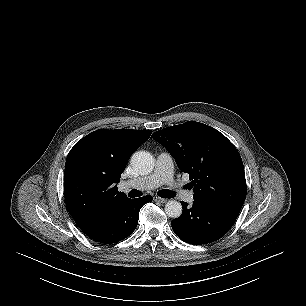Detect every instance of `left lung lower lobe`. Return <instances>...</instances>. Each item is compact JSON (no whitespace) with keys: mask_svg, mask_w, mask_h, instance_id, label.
<instances>
[{"mask_svg":"<svg viewBox=\"0 0 306 306\" xmlns=\"http://www.w3.org/2000/svg\"><path fill=\"white\" fill-rule=\"evenodd\" d=\"M182 215L172 221L175 234L184 242L201 245L220 239L234 224L240 209L194 201L191 207L181 202Z\"/></svg>","mask_w":306,"mask_h":306,"instance_id":"1","label":"left lung lower lobe"}]
</instances>
